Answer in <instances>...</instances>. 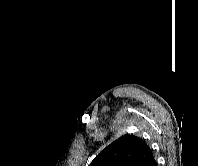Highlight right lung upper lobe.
<instances>
[{"label": "right lung upper lobe", "instance_id": "right-lung-upper-lobe-1", "mask_svg": "<svg viewBox=\"0 0 198 166\" xmlns=\"http://www.w3.org/2000/svg\"><path fill=\"white\" fill-rule=\"evenodd\" d=\"M152 151L139 137L124 135L103 149L90 166H150Z\"/></svg>", "mask_w": 198, "mask_h": 166}]
</instances>
